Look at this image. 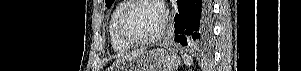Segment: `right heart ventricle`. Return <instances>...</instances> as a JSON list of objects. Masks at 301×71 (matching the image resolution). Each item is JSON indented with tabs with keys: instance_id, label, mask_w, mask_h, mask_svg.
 Returning a JSON list of instances; mask_svg holds the SVG:
<instances>
[{
	"instance_id": "e07e8e85",
	"label": "right heart ventricle",
	"mask_w": 301,
	"mask_h": 71,
	"mask_svg": "<svg viewBox=\"0 0 301 71\" xmlns=\"http://www.w3.org/2000/svg\"><path fill=\"white\" fill-rule=\"evenodd\" d=\"M126 1L120 2L115 9L113 10L109 25H108V34L111 42L112 48L116 52H125L129 50L132 46L127 44L119 35L118 32V19L119 15L123 9V7L126 5Z\"/></svg>"
}]
</instances>
